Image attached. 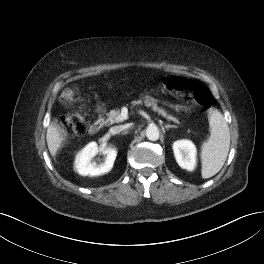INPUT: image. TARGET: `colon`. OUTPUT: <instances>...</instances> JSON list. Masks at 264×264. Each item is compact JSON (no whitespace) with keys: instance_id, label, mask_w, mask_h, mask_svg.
I'll return each mask as SVG.
<instances>
[{"instance_id":"1","label":"colon","mask_w":264,"mask_h":264,"mask_svg":"<svg viewBox=\"0 0 264 264\" xmlns=\"http://www.w3.org/2000/svg\"><path fill=\"white\" fill-rule=\"evenodd\" d=\"M162 84L184 101H194L206 109L212 104V94L202 83H196L184 77L168 76L162 79ZM62 100L67 104H77L79 107L78 112L65 116L61 120L64 135L70 137L83 134L86 131L88 120L79 106L80 99L77 92L72 88L66 89Z\"/></svg>"}]
</instances>
